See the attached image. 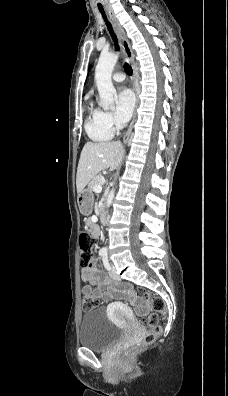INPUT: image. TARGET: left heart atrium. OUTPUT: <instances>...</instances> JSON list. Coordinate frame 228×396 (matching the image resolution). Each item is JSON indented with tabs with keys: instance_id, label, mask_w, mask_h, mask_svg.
<instances>
[{
	"instance_id": "39dd6f15",
	"label": "left heart atrium",
	"mask_w": 228,
	"mask_h": 396,
	"mask_svg": "<svg viewBox=\"0 0 228 396\" xmlns=\"http://www.w3.org/2000/svg\"><path fill=\"white\" fill-rule=\"evenodd\" d=\"M135 106V97L133 93L126 88L119 91L116 99V117L120 122H127Z\"/></svg>"
}]
</instances>
